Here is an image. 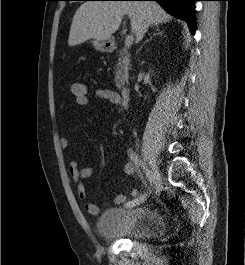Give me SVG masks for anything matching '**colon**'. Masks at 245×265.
I'll return each mask as SVG.
<instances>
[{"label": "colon", "instance_id": "colon-1", "mask_svg": "<svg viewBox=\"0 0 245 265\" xmlns=\"http://www.w3.org/2000/svg\"><path fill=\"white\" fill-rule=\"evenodd\" d=\"M71 93L79 106H86L89 103V91L87 86L81 82H75L71 86Z\"/></svg>", "mask_w": 245, "mask_h": 265}]
</instances>
